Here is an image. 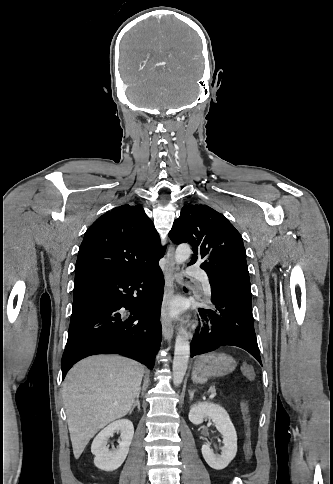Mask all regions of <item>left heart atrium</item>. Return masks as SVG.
Instances as JSON below:
<instances>
[{
  "label": "left heart atrium",
  "mask_w": 333,
  "mask_h": 484,
  "mask_svg": "<svg viewBox=\"0 0 333 484\" xmlns=\"http://www.w3.org/2000/svg\"><path fill=\"white\" fill-rule=\"evenodd\" d=\"M180 309V303L178 300L171 301L169 304V314L175 315Z\"/></svg>",
  "instance_id": "left-heart-atrium-1"
}]
</instances>
